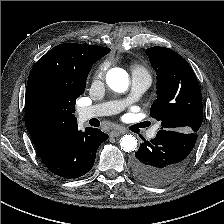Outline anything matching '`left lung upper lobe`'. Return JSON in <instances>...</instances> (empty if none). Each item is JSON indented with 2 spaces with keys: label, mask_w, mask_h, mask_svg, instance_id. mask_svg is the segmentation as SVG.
Instances as JSON below:
<instances>
[{
  "label": "left lung upper lobe",
  "mask_w": 224,
  "mask_h": 224,
  "mask_svg": "<svg viewBox=\"0 0 224 224\" xmlns=\"http://www.w3.org/2000/svg\"><path fill=\"white\" fill-rule=\"evenodd\" d=\"M147 55L157 73V99L151 106V117L161 122V130L197 133L203 121V105L191 66L169 48L151 47Z\"/></svg>",
  "instance_id": "1"
}]
</instances>
